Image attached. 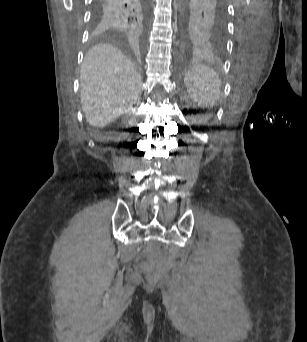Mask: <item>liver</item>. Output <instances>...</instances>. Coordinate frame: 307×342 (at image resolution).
Instances as JSON below:
<instances>
[{
	"instance_id": "6515ba94",
	"label": "liver",
	"mask_w": 307,
	"mask_h": 342,
	"mask_svg": "<svg viewBox=\"0 0 307 342\" xmlns=\"http://www.w3.org/2000/svg\"><path fill=\"white\" fill-rule=\"evenodd\" d=\"M81 104L87 122L104 128L136 104L141 76L121 50L98 44L88 50L80 70Z\"/></svg>"
}]
</instances>
